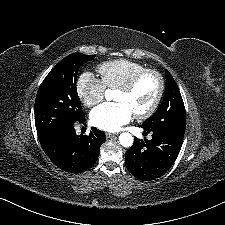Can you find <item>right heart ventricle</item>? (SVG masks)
Wrapping results in <instances>:
<instances>
[{
	"mask_svg": "<svg viewBox=\"0 0 225 225\" xmlns=\"http://www.w3.org/2000/svg\"><path fill=\"white\" fill-rule=\"evenodd\" d=\"M143 69L145 67L142 64L127 59L110 60L98 66L102 81L110 89H118Z\"/></svg>",
	"mask_w": 225,
	"mask_h": 225,
	"instance_id": "1",
	"label": "right heart ventricle"
}]
</instances>
